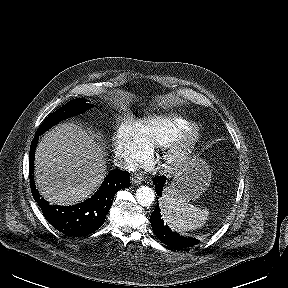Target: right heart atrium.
<instances>
[{
  "label": "right heart atrium",
  "mask_w": 288,
  "mask_h": 288,
  "mask_svg": "<svg viewBox=\"0 0 288 288\" xmlns=\"http://www.w3.org/2000/svg\"><path fill=\"white\" fill-rule=\"evenodd\" d=\"M114 148L117 157L127 168L145 164L151 156V147L141 135L138 124L133 121L122 123L115 134Z\"/></svg>",
  "instance_id": "obj_1"
}]
</instances>
